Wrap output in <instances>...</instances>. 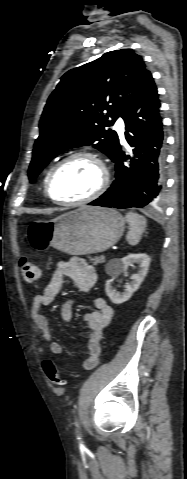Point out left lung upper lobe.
<instances>
[{
  "label": "left lung upper lobe",
  "mask_w": 187,
  "mask_h": 479,
  "mask_svg": "<svg viewBox=\"0 0 187 479\" xmlns=\"http://www.w3.org/2000/svg\"><path fill=\"white\" fill-rule=\"evenodd\" d=\"M149 75L142 57L131 49L110 51L65 73L40 120L30 182L52 158L70 148L93 145L114 160L119 139L106 127L119 117L125 119Z\"/></svg>",
  "instance_id": "obj_1"
}]
</instances>
